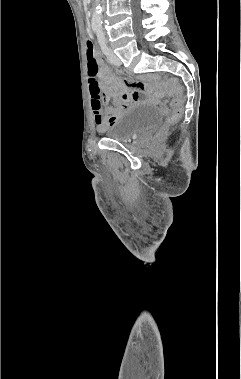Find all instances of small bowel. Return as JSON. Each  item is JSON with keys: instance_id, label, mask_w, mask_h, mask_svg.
Returning <instances> with one entry per match:
<instances>
[{"instance_id": "1", "label": "small bowel", "mask_w": 241, "mask_h": 379, "mask_svg": "<svg viewBox=\"0 0 241 379\" xmlns=\"http://www.w3.org/2000/svg\"><path fill=\"white\" fill-rule=\"evenodd\" d=\"M96 82L98 87L102 86L104 89H90L92 115L98 129L117 125L120 114L135 103H154L158 100L156 95L141 99L139 90L144 89L143 83L133 80L124 83L113 77L104 66H101L99 82Z\"/></svg>"}]
</instances>
